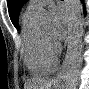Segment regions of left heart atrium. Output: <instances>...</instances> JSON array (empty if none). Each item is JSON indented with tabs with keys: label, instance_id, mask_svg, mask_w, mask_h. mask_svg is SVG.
I'll list each match as a JSON object with an SVG mask.
<instances>
[{
	"label": "left heart atrium",
	"instance_id": "left-heart-atrium-1",
	"mask_svg": "<svg viewBox=\"0 0 89 89\" xmlns=\"http://www.w3.org/2000/svg\"><path fill=\"white\" fill-rule=\"evenodd\" d=\"M52 19L51 36L54 41L59 42L66 35L67 17L65 11L61 7H54L52 9Z\"/></svg>",
	"mask_w": 89,
	"mask_h": 89
}]
</instances>
